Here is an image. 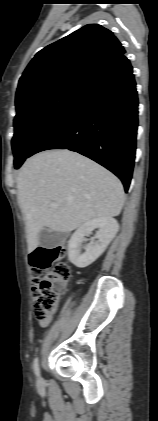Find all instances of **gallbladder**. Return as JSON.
Wrapping results in <instances>:
<instances>
[{"instance_id":"obj_1","label":"gallbladder","mask_w":158,"mask_h":421,"mask_svg":"<svg viewBox=\"0 0 158 421\" xmlns=\"http://www.w3.org/2000/svg\"><path fill=\"white\" fill-rule=\"evenodd\" d=\"M67 234L58 231H49L43 228L39 233V244L45 249H52L62 244L66 239Z\"/></svg>"}]
</instances>
